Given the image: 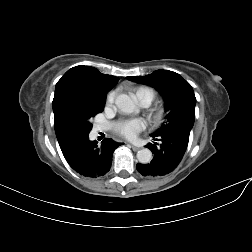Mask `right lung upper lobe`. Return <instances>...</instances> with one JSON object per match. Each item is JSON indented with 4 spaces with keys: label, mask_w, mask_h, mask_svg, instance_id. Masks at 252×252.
<instances>
[{
    "label": "right lung upper lobe",
    "mask_w": 252,
    "mask_h": 252,
    "mask_svg": "<svg viewBox=\"0 0 252 252\" xmlns=\"http://www.w3.org/2000/svg\"><path fill=\"white\" fill-rule=\"evenodd\" d=\"M118 82V77L104 75L90 66H75L68 70L57 82L52 102L54 128L58 142L70 136L63 128L60 117V106L69 94H76L90 99H106V93Z\"/></svg>",
    "instance_id": "1"
}]
</instances>
